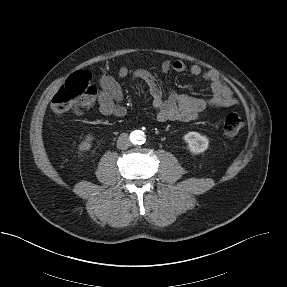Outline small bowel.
I'll use <instances>...</instances> for the list:
<instances>
[{
	"mask_svg": "<svg viewBox=\"0 0 287 287\" xmlns=\"http://www.w3.org/2000/svg\"><path fill=\"white\" fill-rule=\"evenodd\" d=\"M163 72L175 71L202 77L209 83L211 96L208 98L194 97L187 94H178L170 91L167 96L163 94V88L156 77L145 69L130 71L122 66L118 71L121 79L132 76L135 80L143 81L152 97L156 117L160 122H189L198 119L209 108L230 107L238 103L233 91L225 80L215 70H203L199 65L187 68L183 61L166 60L161 64ZM100 92L97 102L99 112L104 116L123 117L127 110L123 104V91L118 81L111 75H102L99 79Z\"/></svg>",
	"mask_w": 287,
	"mask_h": 287,
	"instance_id": "1",
	"label": "small bowel"
}]
</instances>
